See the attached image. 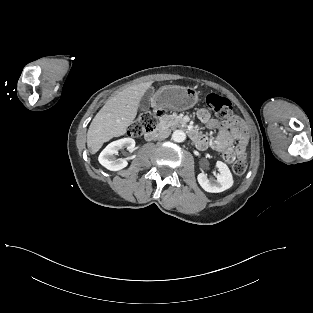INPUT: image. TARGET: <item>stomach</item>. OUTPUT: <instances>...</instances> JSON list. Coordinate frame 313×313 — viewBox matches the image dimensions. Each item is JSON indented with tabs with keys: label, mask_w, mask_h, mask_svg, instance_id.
<instances>
[{
	"label": "stomach",
	"mask_w": 313,
	"mask_h": 313,
	"mask_svg": "<svg viewBox=\"0 0 313 313\" xmlns=\"http://www.w3.org/2000/svg\"><path fill=\"white\" fill-rule=\"evenodd\" d=\"M198 92L193 87L164 86L154 95L152 104L156 108L182 111L192 108L198 102Z\"/></svg>",
	"instance_id": "obj_1"
}]
</instances>
